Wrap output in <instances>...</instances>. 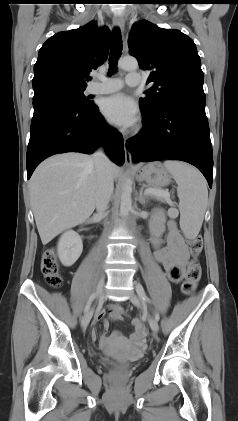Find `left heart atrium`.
Wrapping results in <instances>:
<instances>
[{"label":"left heart atrium","instance_id":"39dd6f15","mask_svg":"<svg viewBox=\"0 0 238 421\" xmlns=\"http://www.w3.org/2000/svg\"><path fill=\"white\" fill-rule=\"evenodd\" d=\"M101 111L115 125L129 127L137 121L136 104L123 93L105 98L101 105Z\"/></svg>","mask_w":238,"mask_h":421}]
</instances>
